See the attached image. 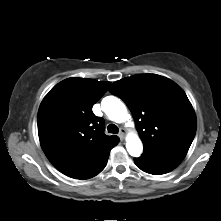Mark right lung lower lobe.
<instances>
[{"label":"right lung lower lobe","mask_w":221,"mask_h":221,"mask_svg":"<svg viewBox=\"0 0 221 221\" xmlns=\"http://www.w3.org/2000/svg\"><path fill=\"white\" fill-rule=\"evenodd\" d=\"M111 150V149H110ZM110 150L102 155L99 159L81 168H77L64 173L65 175L75 179H88L99 174L108 161Z\"/></svg>","instance_id":"98d812e1"}]
</instances>
